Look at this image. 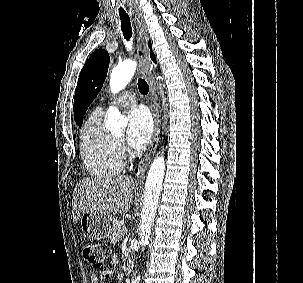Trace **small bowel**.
Wrapping results in <instances>:
<instances>
[{
    "mask_svg": "<svg viewBox=\"0 0 303 283\" xmlns=\"http://www.w3.org/2000/svg\"><path fill=\"white\" fill-rule=\"evenodd\" d=\"M117 260H118V257L116 255H113L112 259H111L112 263H116ZM90 283H99V278L96 274H92L90 276Z\"/></svg>",
    "mask_w": 303,
    "mask_h": 283,
    "instance_id": "c3829d8e",
    "label": "small bowel"
}]
</instances>
